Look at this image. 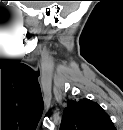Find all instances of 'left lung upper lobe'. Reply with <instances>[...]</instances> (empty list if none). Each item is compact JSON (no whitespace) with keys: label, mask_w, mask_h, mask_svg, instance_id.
<instances>
[{"label":"left lung upper lobe","mask_w":123,"mask_h":130,"mask_svg":"<svg viewBox=\"0 0 123 130\" xmlns=\"http://www.w3.org/2000/svg\"><path fill=\"white\" fill-rule=\"evenodd\" d=\"M66 130H110L112 122L104 110L89 99L69 101L63 113Z\"/></svg>","instance_id":"5c2ea615"}]
</instances>
